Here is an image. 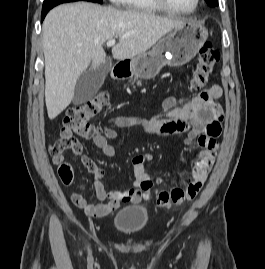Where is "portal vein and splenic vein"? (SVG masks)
I'll use <instances>...</instances> for the list:
<instances>
[{"instance_id":"portal-vein-and-splenic-vein-1","label":"portal vein and splenic vein","mask_w":265,"mask_h":269,"mask_svg":"<svg viewBox=\"0 0 265 269\" xmlns=\"http://www.w3.org/2000/svg\"><path fill=\"white\" fill-rule=\"evenodd\" d=\"M115 43H116V40L115 39H111V40L107 41L106 45H107V47H112V46L115 45Z\"/></svg>"}]
</instances>
